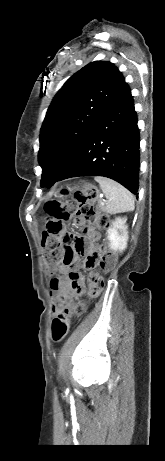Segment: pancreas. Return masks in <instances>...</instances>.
Wrapping results in <instances>:
<instances>
[{
	"mask_svg": "<svg viewBox=\"0 0 165 461\" xmlns=\"http://www.w3.org/2000/svg\"><path fill=\"white\" fill-rule=\"evenodd\" d=\"M98 208H99L100 210H104V207H103L102 204H99Z\"/></svg>",
	"mask_w": 165,
	"mask_h": 461,
	"instance_id": "1",
	"label": "pancreas"
}]
</instances>
